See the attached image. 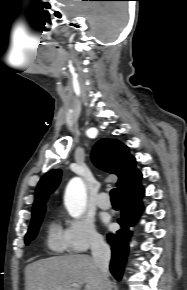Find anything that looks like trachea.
Segmentation results:
<instances>
[{"label":"trachea","mask_w":187,"mask_h":290,"mask_svg":"<svg viewBox=\"0 0 187 290\" xmlns=\"http://www.w3.org/2000/svg\"><path fill=\"white\" fill-rule=\"evenodd\" d=\"M110 197H111V201L118 202V194H117V189L116 188H113L110 191Z\"/></svg>","instance_id":"1"}]
</instances>
